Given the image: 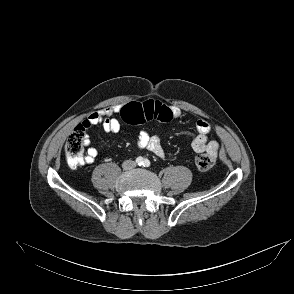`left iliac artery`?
<instances>
[{
	"label": "left iliac artery",
	"mask_w": 294,
	"mask_h": 294,
	"mask_svg": "<svg viewBox=\"0 0 294 294\" xmlns=\"http://www.w3.org/2000/svg\"><path fill=\"white\" fill-rule=\"evenodd\" d=\"M144 167H149L150 166V161L148 159H145L143 162Z\"/></svg>",
	"instance_id": "1"
}]
</instances>
